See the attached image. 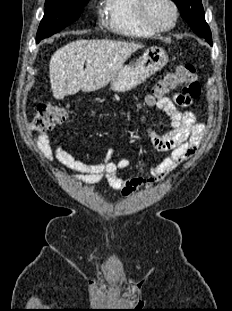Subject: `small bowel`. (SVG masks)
Returning a JSON list of instances; mask_svg holds the SVG:
<instances>
[{
  "label": "small bowel",
  "instance_id": "obj_1",
  "mask_svg": "<svg viewBox=\"0 0 232 311\" xmlns=\"http://www.w3.org/2000/svg\"><path fill=\"white\" fill-rule=\"evenodd\" d=\"M192 104L193 100L184 94L164 97L154 104L155 108L162 110L170 119L172 130L164 134L158 133L148 124L149 111L141 114L140 122L154 148L161 152H169L159 164L150 168V175L147 177H120L118 172L129 168L133 161L128 158L112 161L113 151L96 163H87L76 159L59 143H52L47 134L40 135L36 143L43 158L66 178L90 184L105 180L112 189L119 191L123 196H130L162 181L196 152L205 128L197 121L192 111L180 110V107H189Z\"/></svg>",
  "mask_w": 232,
  "mask_h": 311
}]
</instances>
